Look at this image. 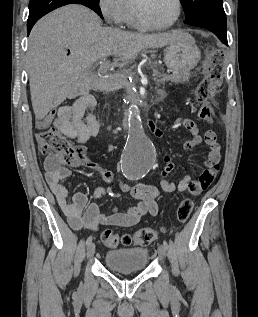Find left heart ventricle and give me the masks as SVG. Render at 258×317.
Instances as JSON below:
<instances>
[{
    "instance_id": "obj_1",
    "label": "left heart ventricle",
    "mask_w": 258,
    "mask_h": 317,
    "mask_svg": "<svg viewBox=\"0 0 258 317\" xmlns=\"http://www.w3.org/2000/svg\"><path fill=\"white\" fill-rule=\"evenodd\" d=\"M176 11V4L172 0H154L144 7L142 18L148 27L162 26L175 18Z\"/></svg>"
}]
</instances>
